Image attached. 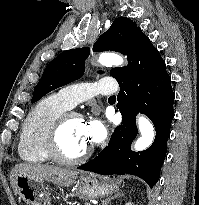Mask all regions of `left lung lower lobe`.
<instances>
[{
  "label": "left lung lower lobe",
  "instance_id": "left-lung-lower-lobe-1",
  "mask_svg": "<svg viewBox=\"0 0 199 205\" xmlns=\"http://www.w3.org/2000/svg\"><path fill=\"white\" fill-rule=\"evenodd\" d=\"M128 66L121 67L115 78L120 86L117 108L122 124L115 128L108 146L93 160L78 169L101 175L131 174L153 187L160 177L171 122L174 118V93L165 61L141 31L127 53ZM147 115L156 136L153 144L137 153L130 149L137 136L135 116Z\"/></svg>",
  "mask_w": 199,
  "mask_h": 205
}]
</instances>
